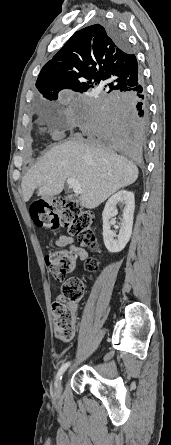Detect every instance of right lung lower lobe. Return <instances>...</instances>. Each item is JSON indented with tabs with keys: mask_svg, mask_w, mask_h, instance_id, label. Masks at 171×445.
<instances>
[{
	"mask_svg": "<svg viewBox=\"0 0 171 445\" xmlns=\"http://www.w3.org/2000/svg\"><path fill=\"white\" fill-rule=\"evenodd\" d=\"M119 46L127 40L115 24H105ZM86 134L100 145L124 157L141 161L148 119L143 82L125 93H107L85 110Z\"/></svg>",
	"mask_w": 171,
	"mask_h": 445,
	"instance_id": "1",
	"label": "right lung lower lobe"
}]
</instances>
